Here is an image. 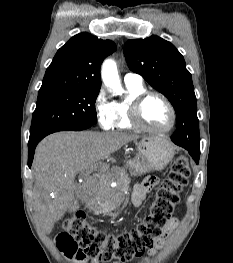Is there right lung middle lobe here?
<instances>
[{
  "label": "right lung middle lobe",
  "instance_id": "right-lung-middle-lobe-1",
  "mask_svg": "<svg viewBox=\"0 0 233 263\" xmlns=\"http://www.w3.org/2000/svg\"><path fill=\"white\" fill-rule=\"evenodd\" d=\"M99 89H67L38 95L29 141L65 127L97 122L95 102Z\"/></svg>",
  "mask_w": 233,
  "mask_h": 263
}]
</instances>
